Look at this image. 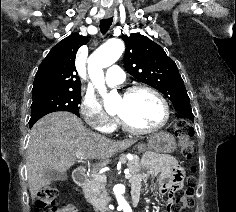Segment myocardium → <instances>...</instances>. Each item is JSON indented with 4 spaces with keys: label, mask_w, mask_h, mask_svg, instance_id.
<instances>
[{
    "label": "myocardium",
    "mask_w": 236,
    "mask_h": 212,
    "mask_svg": "<svg viewBox=\"0 0 236 212\" xmlns=\"http://www.w3.org/2000/svg\"><path fill=\"white\" fill-rule=\"evenodd\" d=\"M138 91L150 92L161 102L163 109H164V117H163L162 121L159 124H157L156 126L151 127V128H137V127L131 125L120 114H117V120H118L119 124L121 125V127L125 131L132 133V134L143 135V134H150V133L157 132L158 130L162 129L169 122L170 115H171L170 106H169L167 100L165 99V97L157 89H155L149 85H146V84H136V85H132V86L128 87L124 91L123 96L124 97L131 96L132 94H134Z\"/></svg>",
    "instance_id": "obj_1"
}]
</instances>
